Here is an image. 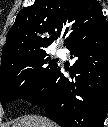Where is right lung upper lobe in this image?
<instances>
[{"label":"right lung upper lobe","instance_id":"cb5924a9","mask_svg":"<svg viewBox=\"0 0 108 127\" xmlns=\"http://www.w3.org/2000/svg\"><path fill=\"white\" fill-rule=\"evenodd\" d=\"M103 17L97 0H36L18 13L7 35L1 65L45 52L61 32L67 46Z\"/></svg>","mask_w":108,"mask_h":127}]
</instances>
